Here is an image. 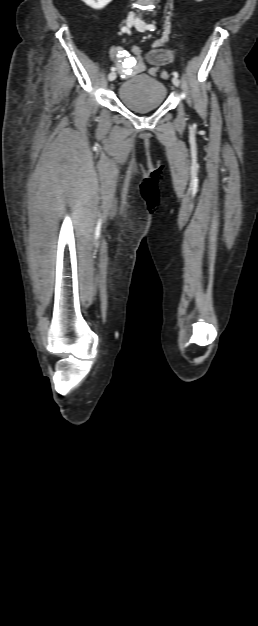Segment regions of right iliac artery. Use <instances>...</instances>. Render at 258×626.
Wrapping results in <instances>:
<instances>
[{"label": "right iliac artery", "instance_id": "right-iliac-artery-1", "mask_svg": "<svg viewBox=\"0 0 258 626\" xmlns=\"http://www.w3.org/2000/svg\"><path fill=\"white\" fill-rule=\"evenodd\" d=\"M121 32H122V33H126V32H128V28H127V27H125V26H123V27L121 28ZM111 71H115V67H111Z\"/></svg>", "mask_w": 258, "mask_h": 626}]
</instances>
